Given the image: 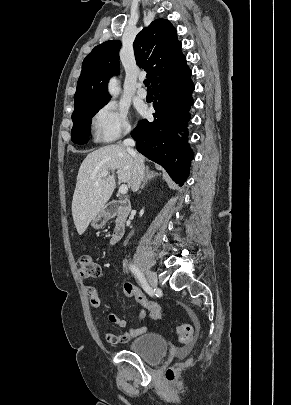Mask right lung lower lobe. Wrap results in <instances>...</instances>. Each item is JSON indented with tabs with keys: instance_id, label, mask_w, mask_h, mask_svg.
<instances>
[{
	"instance_id": "98d812e1",
	"label": "right lung lower lobe",
	"mask_w": 291,
	"mask_h": 405,
	"mask_svg": "<svg viewBox=\"0 0 291 405\" xmlns=\"http://www.w3.org/2000/svg\"><path fill=\"white\" fill-rule=\"evenodd\" d=\"M191 70L153 87L154 121H140L131 133L137 150L160 164L170 177L183 185L189 175L193 152L187 143L194 84Z\"/></svg>"
}]
</instances>
